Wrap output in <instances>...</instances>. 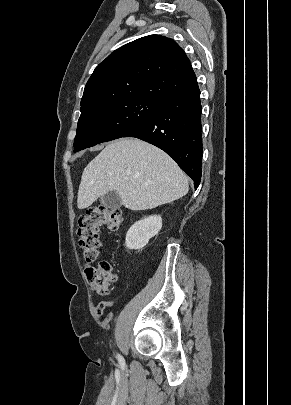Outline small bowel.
I'll use <instances>...</instances> for the list:
<instances>
[{
    "instance_id": "c3829d8e",
    "label": "small bowel",
    "mask_w": 291,
    "mask_h": 405,
    "mask_svg": "<svg viewBox=\"0 0 291 405\" xmlns=\"http://www.w3.org/2000/svg\"><path fill=\"white\" fill-rule=\"evenodd\" d=\"M109 306H110V303H108V302H101V303L96 307V314H97V316L100 317V316L103 314L104 310H105L106 308H108Z\"/></svg>"
}]
</instances>
